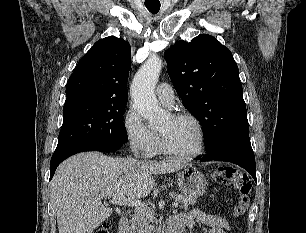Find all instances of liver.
<instances>
[{
    "label": "liver",
    "mask_w": 306,
    "mask_h": 233,
    "mask_svg": "<svg viewBox=\"0 0 306 233\" xmlns=\"http://www.w3.org/2000/svg\"><path fill=\"white\" fill-rule=\"evenodd\" d=\"M186 167L181 160L152 162L113 158L84 152L65 160L51 181V194L59 233H92L111 214L105 197L123 194L140 199L150 194L155 175Z\"/></svg>",
    "instance_id": "6515ba94"
}]
</instances>
